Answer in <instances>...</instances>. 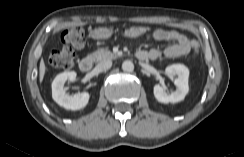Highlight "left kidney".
I'll use <instances>...</instances> for the list:
<instances>
[{"label":"left kidney","instance_id":"left-kidney-1","mask_svg":"<svg viewBox=\"0 0 244 157\" xmlns=\"http://www.w3.org/2000/svg\"><path fill=\"white\" fill-rule=\"evenodd\" d=\"M165 72L168 76H177L174 83L176 85V90L172 93H167L163 88L156 84L153 88V93L155 98L164 104L167 103H177L184 100L185 96L189 91L188 78L189 70L183 64H173L166 67Z\"/></svg>","mask_w":244,"mask_h":157}]
</instances>
